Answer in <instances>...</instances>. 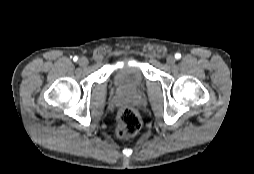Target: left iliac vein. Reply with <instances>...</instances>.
Returning a JSON list of instances; mask_svg holds the SVG:
<instances>
[{"label": "left iliac vein", "instance_id": "4c4485c4", "mask_svg": "<svg viewBox=\"0 0 254 174\" xmlns=\"http://www.w3.org/2000/svg\"><path fill=\"white\" fill-rule=\"evenodd\" d=\"M166 61L169 65H173L176 62V58L173 55H169Z\"/></svg>", "mask_w": 254, "mask_h": 174}]
</instances>
